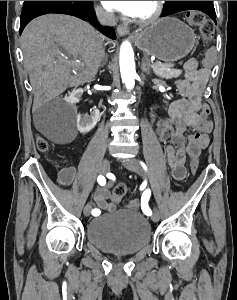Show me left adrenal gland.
<instances>
[{
  "mask_svg": "<svg viewBox=\"0 0 237 300\" xmlns=\"http://www.w3.org/2000/svg\"><path fill=\"white\" fill-rule=\"evenodd\" d=\"M150 63H149V59L148 57H146V55H144L142 61H141V69H142V73H146V75H150V67H149Z\"/></svg>",
  "mask_w": 237,
  "mask_h": 300,
  "instance_id": "obj_1",
  "label": "left adrenal gland"
}]
</instances>
